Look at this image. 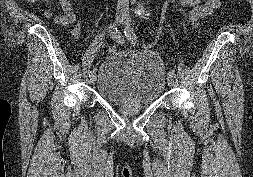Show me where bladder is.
Returning <instances> with one entry per match:
<instances>
[{"instance_id": "bladder-1", "label": "bladder", "mask_w": 253, "mask_h": 177, "mask_svg": "<svg viewBox=\"0 0 253 177\" xmlns=\"http://www.w3.org/2000/svg\"><path fill=\"white\" fill-rule=\"evenodd\" d=\"M95 81L97 94L108 103L135 101L149 106L163 94L165 72L154 53L117 51L103 61Z\"/></svg>"}]
</instances>
